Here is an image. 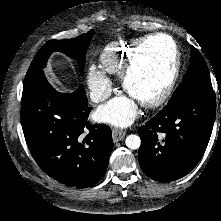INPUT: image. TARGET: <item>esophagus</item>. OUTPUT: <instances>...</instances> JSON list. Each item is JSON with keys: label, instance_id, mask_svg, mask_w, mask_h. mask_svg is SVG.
I'll use <instances>...</instances> for the list:
<instances>
[{"label": "esophagus", "instance_id": "1", "mask_svg": "<svg viewBox=\"0 0 221 221\" xmlns=\"http://www.w3.org/2000/svg\"><path fill=\"white\" fill-rule=\"evenodd\" d=\"M112 137H113V141L115 143L121 141L124 139L125 137V132H123L122 130L118 129V128H113L112 129Z\"/></svg>", "mask_w": 221, "mask_h": 221}]
</instances>
